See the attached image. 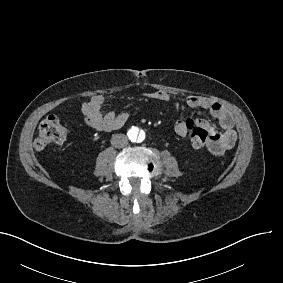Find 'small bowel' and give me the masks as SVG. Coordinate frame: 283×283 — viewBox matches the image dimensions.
<instances>
[{"mask_svg": "<svg viewBox=\"0 0 283 283\" xmlns=\"http://www.w3.org/2000/svg\"><path fill=\"white\" fill-rule=\"evenodd\" d=\"M146 99L170 102L171 95L163 90L144 92L142 95ZM104 96L97 94L83 104V114L87 123L98 131L109 132L124 126L129 119L127 112L114 113L104 110ZM184 105L190 108H200L210 112L211 116L218 122L221 131L206 120L202 121V128L208 129L212 134L211 143L205 147L215 156H222L230 150L236 143L237 132L235 130V120L233 115L221 104L211 98L201 95H190L184 100ZM176 108L180 107L179 102H175ZM185 120H177L174 125L175 132L180 137H186L182 131V124Z\"/></svg>", "mask_w": 283, "mask_h": 283, "instance_id": "small-bowel-1", "label": "small bowel"}]
</instances>
